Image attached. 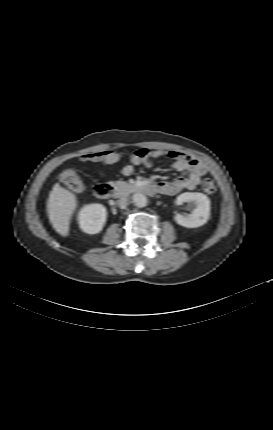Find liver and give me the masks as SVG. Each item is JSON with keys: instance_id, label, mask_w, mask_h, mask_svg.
Here are the masks:
<instances>
[{"instance_id": "6515ba94", "label": "liver", "mask_w": 273, "mask_h": 430, "mask_svg": "<svg viewBox=\"0 0 273 430\" xmlns=\"http://www.w3.org/2000/svg\"><path fill=\"white\" fill-rule=\"evenodd\" d=\"M78 206L75 194L61 187L59 183L53 186L49 194L47 210L53 228L62 236L69 234L71 217Z\"/></svg>"}]
</instances>
